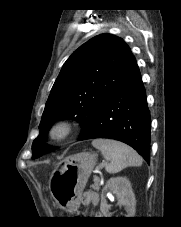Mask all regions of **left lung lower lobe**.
Masks as SVG:
<instances>
[{
	"mask_svg": "<svg viewBox=\"0 0 181 227\" xmlns=\"http://www.w3.org/2000/svg\"><path fill=\"white\" fill-rule=\"evenodd\" d=\"M151 119L137 64L101 106L90 130L80 140L109 138L133 147L150 161Z\"/></svg>",
	"mask_w": 181,
	"mask_h": 227,
	"instance_id": "1",
	"label": "left lung lower lobe"
}]
</instances>
